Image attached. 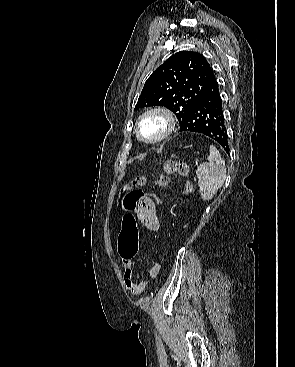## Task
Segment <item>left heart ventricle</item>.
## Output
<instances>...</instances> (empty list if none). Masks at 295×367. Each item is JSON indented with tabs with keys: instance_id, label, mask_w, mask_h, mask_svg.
I'll list each match as a JSON object with an SVG mask.
<instances>
[{
	"instance_id": "obj_1",
	"label": "left heart ventricle",
	"mask_w": 295,
	"mask_h": 367,
	"mask_svg": "<svg viewBox=\"0 0 295 367\" xmlns=\"http://www.w3.org/2000/svg\"><path fill=\"white\" fill-rule=\"evenodd\" d=\"M165 128L164 121L158 116H152L141 123L140 131L145 138L157 137Z\"/></svg>"
}]
</instances>
